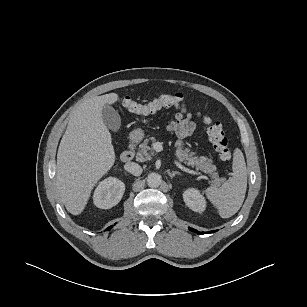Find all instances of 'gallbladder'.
<instances>
[{
  "instance_id": "gallbladder-1",
  "label": "gallbladder",
  "mask_w": 307,
  "mask_h": 307,
  "mask_svg": "<svg viewBox=\"0 0 307 307\" xmlns=\"http://www.w3.org/2000/svg\"><path fill=\"white\" fill-rule=\"evenodd\" d=\"M102 119L105 125L113 130L118 131L121 126V118L118 112L108 104H105L102 108Z\"/></svg>"
}]
</instances>
